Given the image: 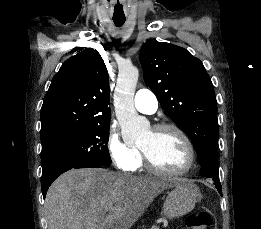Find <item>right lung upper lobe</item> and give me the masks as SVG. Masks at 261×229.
<instances>
[{"label": "right lung upper lobe", "mask_w": 261, "mask_h": 229, "mask_svg": "<svg viewBox=\"0 0 261 229\" xmlns=\"http://www.w3.org/2000/svg\"><path fill=\"white\" fill-rule=\"evenodd\" d=\"M106 65L93 49L66 60L52 79L41 109L42 149L68 141L93 125L110 123Z\"/></svg>", "instance_id": "right-lung-upper-lobe-1"}]
</instances>
